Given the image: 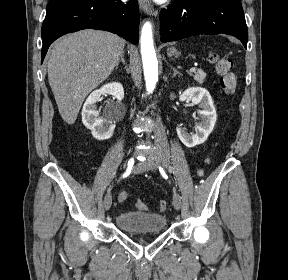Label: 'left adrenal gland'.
Segmentation results:
<instances>
[{"instance_id": "obj_1", "label": "left adrenal gland", "mask_w": 288, "mask_h": 280, "mask_svg": "<svg viewBox=\"0 0 288 280\" xmlns=\"http://www.w3.org/2000/svg\"><path fill=\"white\" fill-rule=\"evenodd\" d=\"M173 76L172 77H175L177 74L181 75V73H179L175 68H173Z\"/></svg>"}]
</instances>
